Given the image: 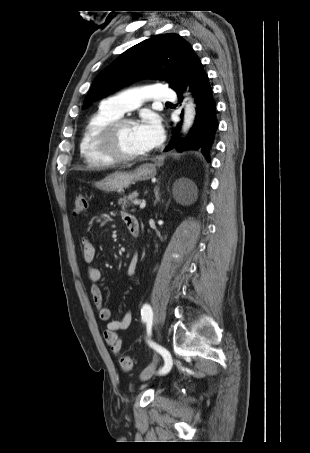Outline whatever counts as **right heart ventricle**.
<instances>
[{
  "instance_id": "right-heart-ventricle-1",
  "label": "right heart ventricle",
  "mask_w": 310,
  "mask_h": 453,
  "mask_svg": "<svg viewBox=\"0 0 310 453\" xmlns=\"http://www.w3.org/2000/svg\"><path fill=\"white\" fill-rule=\"evenodd\" d=\"M119 117L120 115L101 105L88 119L81 136L79 149L85 163L89 167L106 168L116 163L100 152L97 145V138L105 126Z\"/></svg>"
}]
</instances>
